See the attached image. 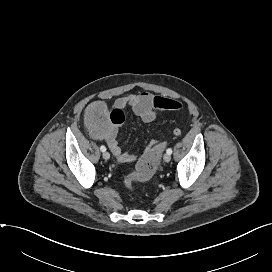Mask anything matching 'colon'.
<instances>
[{"label":"colon","instance_id":"5ec220e1","mask_svg":"<svg viewBox=\"0 0 272 272\" xmlns=\"http://www.w3.org/2000/svg\"><path fill=\"white\" fill-rule=\"evenodd\" d=\"M85 119L93 134H102L109 128L122 124L124 113L121 109L110 110L102 101H94L87 106ZM165 146V142L157 144L138 161L135 171L124 180L127 188L132 189L134 182L147 181L154 175Z\"/></svg>","mask_w":272,"mask_h":272}]
</instances>
